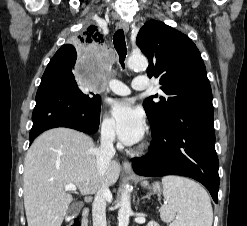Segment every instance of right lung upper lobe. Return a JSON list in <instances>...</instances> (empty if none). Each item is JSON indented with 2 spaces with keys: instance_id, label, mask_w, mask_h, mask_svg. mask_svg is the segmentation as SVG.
Masks as SVG:
<instances>
[{
  "instance_id": "obj_1",
  "label": "right lung upper lobe",
  "mask_w": 247,
  "mask_h": 226,
  "mask_svg": "<svg viewBox=\"0 0 247 226\" xmlns=\"http://www.w3.org/2000/svg\"><path fill=\"white\" fill-rule=\"evenodd\" d=\"M81 42L87 44L88 46L99 45L103 40V35L97 29V26L90 25L81 36H79ZM76 50L74 46L70 44H65L55 53L53 58L50 60V64H56L57 59L63 55H75Z\"/></svg>"
}]
</instances>
